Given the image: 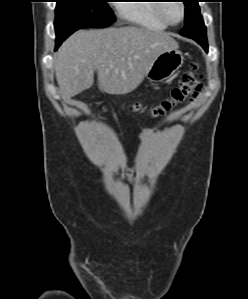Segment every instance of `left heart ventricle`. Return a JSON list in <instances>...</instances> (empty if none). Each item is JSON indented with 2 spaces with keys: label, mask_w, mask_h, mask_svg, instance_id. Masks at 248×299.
Returning a JSON list of instances; mask_svg holds the SVG:
<instances>
[{
  "label": "left heart ventricle",
  "mask_w": 248,
  "mask_h": 299,
  "mask_svg": "<svg viewBox=\"0 0 248 299\" xmlns=\"http://www.w3.org/2000/svg\"><path fill=\"white\" fill-rule=\"evenodd\" d=\"M164 11L168 19L173 22H177L181 18L182 11L180 4L177 2L167 3Z\"/></svg>",
  "instance_id": "b2bd125f"
}]
</instances>
